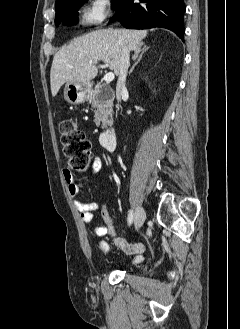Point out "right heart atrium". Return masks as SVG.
I'll list each match as a JSON object with an SVG mask.
<instances>
[{
	"mask_svg": "<svg viewBox=\"0 0 240 329\" xmlns=\"http://www.w3.org/2000/svg\"><path fill=\"white\" fill-rule=\"evenodd\" d=\"M110 16V0H90L83 11V22L94 26L104 22Z\"/></svg>",
	"mask_w": 240,
	"mask_h": 329,
	"instance_id": "1",
	"label": "right heart atrium"
}]
</instances>
